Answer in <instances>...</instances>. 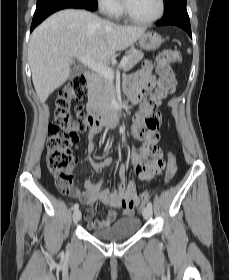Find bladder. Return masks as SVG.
Segmentation results:
<instances>
[{"label":"bladder","instance_id":"31cf9c89","mask_svg":"<svg viewBox=\"0 0 229 280\" xmlns=\"http://www.w3.org/2000/svg\"><path fill=\"white\" fill-rule=\"evenodd\" d=\"M141 221L138 217H125L102 229H91V234L106 241L130 238L137 234Z\"/></svg>","mask_w":229,"mask_h":280}]
</instances>
